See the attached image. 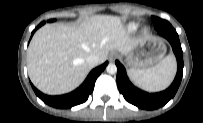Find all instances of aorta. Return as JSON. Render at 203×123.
Instances as JSON below:
<instances>
[{
    "mask_svg": "<svg viewBox=\"0 0 203 123\" xmlns=\"http://www.w3.org/2000/svg\"><path fill=\"white\" fill-rule=\"evenodd\" d=\"M106 71L109 74H115L117 72V66L114 63H110L108 64V66L106 67Z\"/></svg>",
    "mask_w": 203,
    "mask_h": 123,
    "instance_id": "762f6f07",
    "label": "aorta"
}]
</instances>
